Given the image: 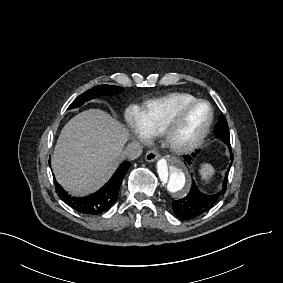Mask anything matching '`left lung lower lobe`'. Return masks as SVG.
I'll return each instance as SVG.
<instances>
[{
  "label": "left lung lower lobe",
  "mask_w": 283,
  "mask_h": 283,
  "mask_svg": "<svg viewBox=\"0 0 283 283\" xmlns=\"http://www.w3.org/2000/svg\"><path fill=\"white\" fill-rule=\"evenodd\" d=\"M214 134L218 140L222 141L229 148L231 147L229 128L224 115L220 116L219 122L215 126ZM196 153H198V151H196ZM194 156L195 154H193V157ZM184 159L188 164H191V156H184ZM226 184L227 174L223 182L222 190L213 195H206L201 193L195 182H193V185L191 186V189L185 198L173 201L172 207L174 213L177 217L184 220L193 219L203 215L204 213L208 212L217 203L219 198L225 193Z\"/></svg>",
  "instance_id": "0a47b994"
}]
</instances>
